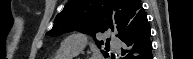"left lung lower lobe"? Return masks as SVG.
Here are the masks:
<instances>
[{
	"label": "left lung lower lobe",
	"mask_w": 193,
	"mask_h": 59,
	"mask_svg": "<svg viewBox=\"0 0 193 59\" xmlns=\"http://www.w3.org/2000/svg\"><path fill=\"white\" fill-rule=\"evenodd\" d=\"M127 46L123 59H152L150 26L144 11L137 14L120 38Z\"/></svg>",
	"instance_id": "obj_1"
}]
</instances>
